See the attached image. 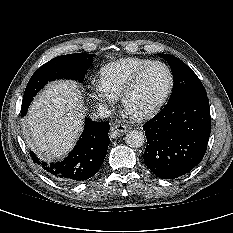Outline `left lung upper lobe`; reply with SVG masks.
Masks as SVG:
<instances>
[{
  "mask_svg": "<svg viewBox=\"0 0 233 233\" xmlns=\"http://www.w3.org/2000/svg\"><path fill=\"white\" fill-rule=\"evenodd\" d=\"M158 55L168 62L174 76V86L169 101L185 96H207L197 75L183 61L169 54Z\"/></svg>",
  "mask_w": 233,
  "mask_h": 233,
  "instance_id": "left-lung-upper-lobe-1",
  "label": "left lung upper lobe"
}]
</instances>
